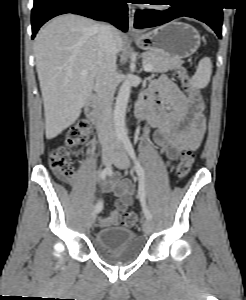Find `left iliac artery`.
Instances as JSON below:
<instances>
[{"label":"left iliac artery","instance_id":"obj_1","mask_svg":"<svg viewBox=\"0 0 246 300\" xmlns=\"http://www.w3.org/2000/svg\"><path fill=\"white\" fill-rule=\"evenodd\" d=\"M123 144L128 152L129 156L132 158L135 164V171L139 177V187H138V197L141 202V206L143 209V213L147 219H151L152 215L149 211L146 203V185H145V172L143 167L141 166L140 162L137 160L134 148L130 142V140L126 137L123 138Z\"/></svg>","mask_w":246,"mask_h":300}]
</instances>
